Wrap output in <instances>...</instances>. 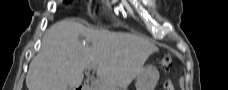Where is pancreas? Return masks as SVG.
<instances>
[{"label":"pancreas","mask_w":228,"mask_h":90,"mask_svg":"<svg viewBox=\"0 0 228 90\" xmlns=\"http://www.w3.org/2000/svg\"><path fill=\"white\" fill-rule=\"evenodd\" d=\"M97 83H98V85H99V86H101V87H103V86H104V84H103V83H101V82H99V81H98ZM90 90H92V88H90Z\"/></svg>","instance_id":"pancreas-1"}]
</instances>
